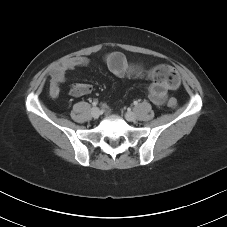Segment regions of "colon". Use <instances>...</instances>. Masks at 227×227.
I'll list each match as a JSON object with an SVG mask.
<instances>
[{"label":"colon","instance_id":"colon-1","mask_svg":"<svg viewBox=\"0 0 227 227\" xmlns=\"http://www.w3.org/2000/svg\"><path fill=\"white\" fill-rule=\"evenodd\" d=\"M156 75L160 81L170 85L177 86L179 83V77L174 68L168 65L156 66ZM167 106L175 109L178 106V102L175 98L171 97L167 100Z\"/></svg>","mask_w":227,"mask_h":227}]
</instances>
